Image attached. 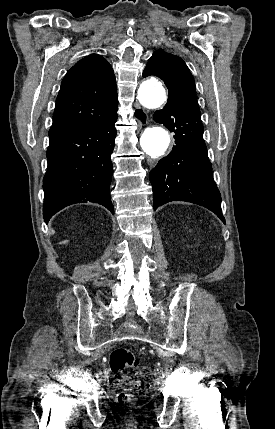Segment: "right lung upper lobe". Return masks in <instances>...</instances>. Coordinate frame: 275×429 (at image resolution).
Returning <instances> with one entry per match:
<instances>
[{
    "label": "right lung upper lobe",
    "mask_w": 275,
    "mask_h": 429,
    "mask_svg": "<svg viewBox=\"0 0 275 429\" xmlns=\"http://www.w3.org/2000/svg\"><path fill=\"white\" fill-rule=\"evenodd\" d=\"M118 99L111 65L92 54L65 75L56 100L49 137L106 121L117 115Z\"/></svg>",
    "instance_id": "1"
}]
</instances>
